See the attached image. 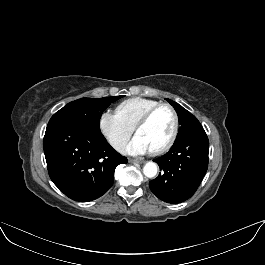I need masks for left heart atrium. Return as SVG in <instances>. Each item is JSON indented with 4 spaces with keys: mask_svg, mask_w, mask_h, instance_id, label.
Here are the masks:
<instances>
[{
    "mask_svg": "<svg viewBox=\"0 0 265 265\" xmlns=\"http://www.w3.org/2000/svg\"><path fill=\"white\" fill-rule=\"evenodd\" d=\"M124 151L128 154L137 155L147 153L148 151H150V149L140 136L135 135L126 144Z\"/></svg>",
    "mask_w": 265,
    "mask_h": 265,
    "instance_id": "left-heart-atrium-1",
    "label": "left heart atrium"
}]
</instances>
